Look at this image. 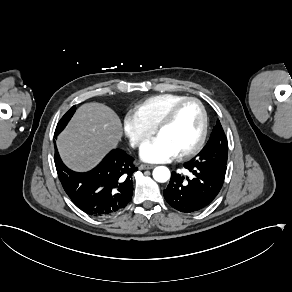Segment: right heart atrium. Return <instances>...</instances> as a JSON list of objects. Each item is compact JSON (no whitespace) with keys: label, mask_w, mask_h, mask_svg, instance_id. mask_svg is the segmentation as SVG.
<instances>
[{"label":"right heart atrium","mask_w":292,"mask_h":292,"mask_svg":"<svg viewBox=\"0 0 292 292\" xmlns=\"http://www.w3.org/2000/svg\"><path fill=\"white\" fill-rule=\"evenodd\" d=\"M123 132L133 146H141L152 134L153 129L147 126L132 110L123 114Z\"/></svg>","instance_id":"d8ad5b80"}]
</instances>
